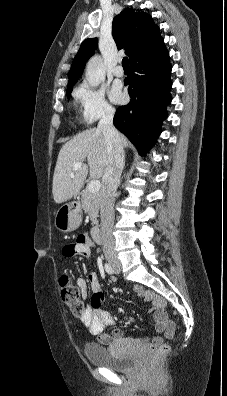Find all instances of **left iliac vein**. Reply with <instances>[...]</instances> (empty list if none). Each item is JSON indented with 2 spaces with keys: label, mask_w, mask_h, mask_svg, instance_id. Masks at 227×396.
Wrapping results in <instances>:
<instances>
[{
  "label": "left iliac vein",
  "mask_w": 227,
  "mask_h": 396,
  "mask_svg": "<svg viewBox=\"0 0 227 396\" xmlns=\"http://www.w3.org/2000/svg\"><path fill=\"white\" fill-rule=\"evenodd\" d=\"M113 269H114L115 273H119L120 272V265L119 264L113 265Z\"/></svg>",
  "instance_id": "obj_1"
}]
</instances>
